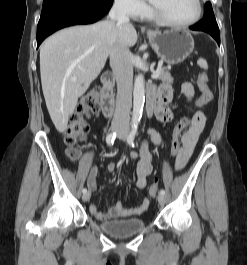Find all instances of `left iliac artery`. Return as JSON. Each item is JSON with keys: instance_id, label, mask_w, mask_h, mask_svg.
<instances>
[{"instance_id": "obj_1", "label": "left iliac artery", "mask_w": 247, "mask_h": 265, "mask_svg": "<svg viewBox=\"0 0 247 265\" xmlns=\"http://www.w3.org/2000/svg\"><path fill=\"white\" fill-rule=\"evenodd\" d=\"M137 130H138V125H137V124H134V125L132 126V130H131L130 134H129L128 137H127V143H128L130 146H132V147L135 146V145H134V138H135V135L137 134ZM160 194L165 195V190H164V189L160 190Z\"/></svg>"}]
</instances>
